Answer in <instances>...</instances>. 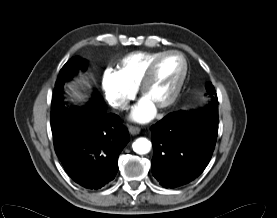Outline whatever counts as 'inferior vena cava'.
Listing matches in <instances>:
<instances>
[{
    "label": "inferior vena cava",
    "instance_id": "1",
    "mask_svg": "<svg viewBox=\"0 0 277 218\" xmlns=\"http://www.w3.org/2000/svg\"><path fill=\"white\" fill-rule=\"evenodd\" d=\"M117 106H120V107H122V108H125L126 107V104H124V103H120V104H116Z\"/></svg>",
    "mask_w": 277,
    "mask_h": 218
}]
</instances>
